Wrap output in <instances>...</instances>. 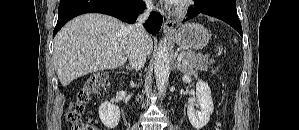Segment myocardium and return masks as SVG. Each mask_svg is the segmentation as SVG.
<instances>
[{
  "mask_svg": "<svg viewBox=\"0 0 299 130\" xmlns=\"http://www.w3.org/2000/svg\"><path fill=\"white\" fill-rule=\"evenodd\" d=\"M192 2V0H183L177 3L174 8L175 14L178 16L185 14Z\"/></svg>",
  "mask_w": 299,
  "mask_h": 130,
  "instance_id": "obj_1",
  "label": "myocardium"
}]
</instances>
